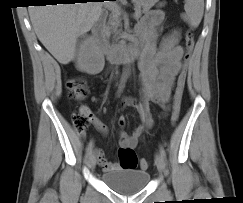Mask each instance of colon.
<instances>
[{
    "label": "colon",
    "instance_id": "5ec220e1",
    "mask_svg": "<svg viewBox=\"0 0 243 203\" xmlns=\"http://www.w3.org/2000/svg\"><path fill=\"white\" fill-rule=\"evenodd\" d=\"M195 44V37L192 30H187L185 33V46L187 49V54L185 55V61H187L190 57V53L194 48ZM186 78H187V71L186 68H184L177 79V85L174 95V101H173V108L171 113V122L175 124L180 116V110H181V102H182V96L185 89L186 84ZM69 96L72 99L79 100L86 96L87 94V86L86 82L79 77H73L69 79L66 83ZM91 113L87 108H80L77 112L73 115V122L75 125L76 130L79 133H83L89 123L91 122ZM119 160H120V166L123 169H135L138 165V160L136 153L133 148L131 147H121L119 149ZM139 166L141 169H146L148 167V162L145 159H142L139 162Z\"/></svg>",
    "mask_w": 243,
    "mask_h": 203
}]
</instances>
